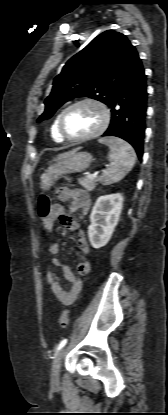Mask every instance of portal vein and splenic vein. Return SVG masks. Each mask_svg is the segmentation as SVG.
<instances>
[{
  "label": "portal vein and splenic vein",
  "mask_w": 168,
  "mask_h": 415,
  "mask_svg": "<svg viewBox=\"0 0 168 415\" xmlns=\"http://www.w3.org/2000/svg\"><path fill=\"white\" fill-rule=\"evenodd\" d=\"M88 177L94 178V177H96V174L90 173V174H88Z\"/></svg>",
  "instance_id": "1"
}]
</instances>
